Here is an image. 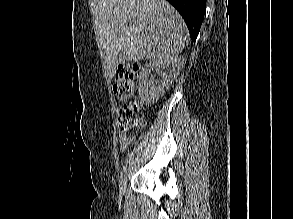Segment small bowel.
<instances>
[{"label":"small bowel","mask_w":293,"mask_h":219,"mask_svg":"<svg viewBox=\"0 0 293 219\" xmlns=\"http://www.w3.org/2000/svg\"><path fill=\"white\" fill-rule=\"evenodd\" d=\"M133 137L129 135V133L125 130H121L119 134V143L120 149L124 152L129 144L131 143Z\"/></svg>","instance_id":"small-bowel-1"}]
</instances>
